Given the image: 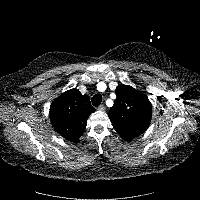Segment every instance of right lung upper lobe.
I'll return each instance as SVG.
<instances>
[{
  "instance_id": "1",
  "label": "right lung upper lobe",
  "mask_w": 200,
  "mask_h": 200,
  "mask_svg": "<svg viewBox=\"0 0 200 200\" xmlns=\"http://www.w3.org/2000/svg\"><path fill=\"white\" fill-rule=\"evenodd\" d=\"M94 111L88 96L82 95L77 89H71L51 104L50 119L62 137L77 141L85 130L88 117Z\"/></svg>"
}]
</instances>
